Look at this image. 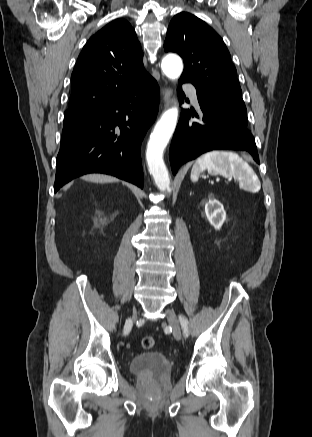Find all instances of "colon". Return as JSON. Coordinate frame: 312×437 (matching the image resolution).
<instances>
[{"mask_svg": "<svg viewBox=\"0 0 312 437\" xmlns=\"http://www.w3.org/2000/svg\"><path fill=\"white\" fill-rule=\"evenodd\" d=\"M155 345L153 337L145 336L141 339V346L145 350H151Z\"/></svg>", "mask_w": 312, "mask_h": 437, "instance_id": "5ec220e1", "label": "colon"}]
</instances>
